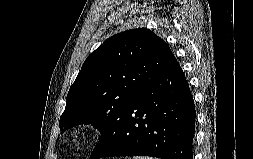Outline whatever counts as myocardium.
Segmentation results:
<instances>
[{"mask_svg":"<svg viewBox=\"0 0 253 159\" xmlns=\"http://www.w3.org/2000/svg\"><path fill=\"white\" fill-rule=\"evenodd\" d=\"M83 135H85V136H87L88 135V132H87V130L84 132V134Z\"/></svg>","mask_w":253,"mask_h":159,"instance_id":"myocardium-1","label":"myocardium"}]
</instances>
